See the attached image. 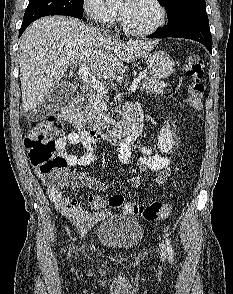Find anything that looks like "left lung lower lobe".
<instances>
[{
	"label": "left lung lower lobe",
	"mask_w": 233,
	"mask_h": 294,
	"mask_svg": "<svg viewBox=\"0 0 233 294\" xmlns=\"http://www.w3.org/2000/svg\"><path fill=\"white\" fill-rule=\"evenodd\" d=\"M148 38L177 37L192 39L203 44L209 52H212V36L209 29L207 14L186 13L173 21L168 22L167 26L157 30Z\"/></svg>",
	"instance_id": "0a47b994"
}]
</instances>
